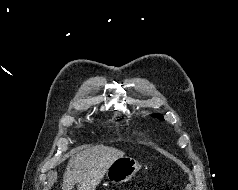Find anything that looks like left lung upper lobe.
I'll return each mask as SVG.
<instances>
[{
	"label": "left lung upper lobe",
	"mask_w": 238,
	"mask_h": 190,
	"mask_svg": "<svg viewBox=\"0 0 238 190\" xmlns=\"http://www.w3.org/2000/svg\"><path fill=\"white\" fill-rule=\"evenodd\" d=\"M153 117H156V118H158V119H160V120H163V116L161 115V114H154V115H152Z\"/></svg>",
	"instance_id": "left-lung-upper-lobe-1"
}]
</instances>
